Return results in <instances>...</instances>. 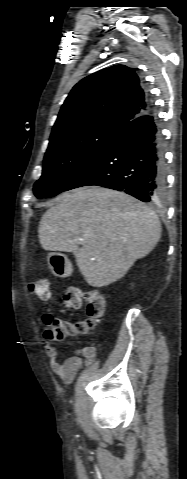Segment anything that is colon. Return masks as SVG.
Masks as SVG:
<instances>
[{
  "label": "colon",
  "instance_id": "1",
  "mask_svg": "<svg viewBox=\"0 0 187 479\" xmlns=\"http://www.w3.org/2000/svg\"><path fill=\"white\" fill-rule=\"evenodd\" d=\"M30 294L40 300L51 298L50 283L47 278H39L29 284ZM62 305L69 310L84 308L86 318L76 322L64 321L45 314L43 321L47 326L44 337L60 340L66 336L87 334L95 329L105 313L106 303L103 294L97 290L84 292L79 287H67L62 295Z\"/></svg>",
  "mask_w": 187,
  "mask_h": 479
}]
</instances>
